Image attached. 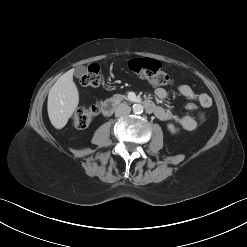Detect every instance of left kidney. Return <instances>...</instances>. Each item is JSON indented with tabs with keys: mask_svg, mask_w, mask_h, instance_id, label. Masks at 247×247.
<instances>
[{
	"mask_svg": "<svg viewBox=\"0 0 247 247\" xmlns=\"http://www.w3.org/2000/svg\"><path fill=\"white\" fill-rule=\"evenodd\" d=\"M167 127L170 130V132L173 134H175L178 131V129L172 123L168 124Z\"/></svg>",
	"mask_w": 247,
	"mask_h": 247,
	"instance_id": "left-kidney-1",
	"label": "left kidney"
}]
</instances>
